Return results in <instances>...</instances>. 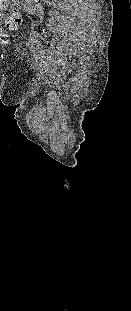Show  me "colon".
<instances>
[{
  "instance_id": "5ec220e1",
  "label": "colon",
  "mask_w": 131,
  "mask_h": 311,
  "mask_svg": "<svg viewBox=\"0 0 131 311\" xmlns=\"http://www.w3.org/2000/svg\"><path fill=\"white\" fill-rule=\"evenodd\" d=\"M7 2V0H0V8H4V3ZM18 24V18L15 14H13L10 18V26L15 27Z\"/></svg>"
}]
</instances>
